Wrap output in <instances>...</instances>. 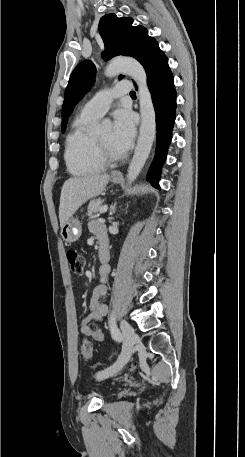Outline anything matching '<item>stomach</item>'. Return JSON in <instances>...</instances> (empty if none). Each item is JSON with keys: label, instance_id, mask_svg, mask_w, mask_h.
<instances>
[{"label": "stomach", "instance_id": "stomach-1", "mask_svg": "<svg viewBox=\"0 0 245 457\" xmlns=\"http://www.w3.org/2000/svg\"><path fill=\"white\" fill-rule=\"evenodd\" d=\"M112 182H121L120 180H114V178H111ZM82 233V226L81 222H79L78 218H69V220H66L64 222L63 226H61V237L65 243H75V241H78L79 237H81Z\"/></svg>", "mask_w": 245, "mask_h": 457}]
</instances>
